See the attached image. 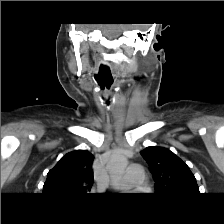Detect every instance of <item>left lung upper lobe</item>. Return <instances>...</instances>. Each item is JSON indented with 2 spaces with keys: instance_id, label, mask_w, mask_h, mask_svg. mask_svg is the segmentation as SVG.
<instances>
[{
  "instance_id": "5c2ea615",
  "label": "left lung upper lobe",
  "mask_w": 224,
  "mask_h": 224,
  "mask_svg": "<svg viewBox=\"0 0 224 224\" xmlns=\"http://www.w3.org/2000/svg\"><path fill=\"white\" fill-rule=\"evenodd\" d=\"M140 154L150 166L156 195L184 197L199 194L193 173L172 151L163 147H147Z\"/></svg>"
}]
</instances>
